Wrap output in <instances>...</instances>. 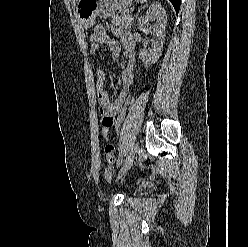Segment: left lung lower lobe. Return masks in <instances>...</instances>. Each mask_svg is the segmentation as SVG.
I'll use <instances>...</instances> for the list:
<instances>
[{
    "label": "left lung lower lobe",
    "mask_w": 248,
    "mask_h": 247,
    "mask_svg": "<svg viewBox=\"0 0 248 247\" xmlns=\"http://www.w3.org/2000/svg\"><path fill=\"white\" fill-rule=\"evenodd\" d=\"M170 2L173 4L176 13H178L180 9L181 0H170Z\"/></svg>",
    "instance_id": "obj_1"
}]
</instances>
